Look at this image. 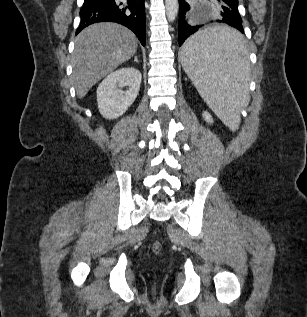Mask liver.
Wrapping results in <instances>:
<instances>
[{
  "instance_id": "6515ba94",
  "label": "liver",
  "mask_w": 307,
  "mask_h": 317,
  "mask_svg": "<svg viewBox=\"0 0 307 317\" xmlns=\"http://www.w3.org/2000/svg\"><path fill=\"white\" fill-rule=\"evenodd\" d=\"M138 47L136 36L116 23H96L79 33L72 54V80L78 98L119 65L133 57Z\"/></svg>"
}]
</instances>
